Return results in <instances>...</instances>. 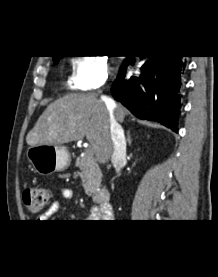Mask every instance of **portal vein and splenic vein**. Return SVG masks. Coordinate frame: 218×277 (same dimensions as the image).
Returning <instances> with one entry per match:
<instances>
[{"instance_id": "18ae733b", "label": "portal vein and splenic vein", "mask_w": 218, "mask_h": 277, "mask_svg": "<svg viewBox=\"0 0 218 277\" xmlns=\"http://www.w3.org/2000/svg\"><path fill=\"white\" fill-rule=\"evenodd\" d=\"M93 152H94V151H93L92 147H90V146L86 149V153H87L88 155H91V156H92V155H93Z\"/></svg>"}]
</instances>
